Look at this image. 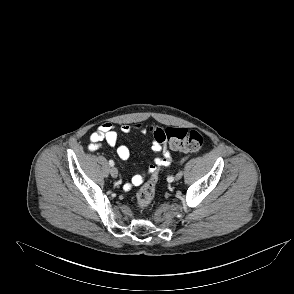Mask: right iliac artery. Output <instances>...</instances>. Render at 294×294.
I'll use <instances>...</instances> for the list:
<instances>
[{"label":"right iliac artery","instance_id":"1","mask_svg":"<svg viewBox=\"0 0 294 294\" xmlns=\"http://www.w3.org/2000/svg\"><path fill=\"white\" fill-rule=\"evenodd\" d=\"M109 165H110L111 167L114 166V162H113V160H110V161H109Z\"/></svg>","mask_w":294,"mask_h":294}]
</instances>
